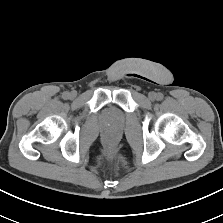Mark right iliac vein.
Returning a JSON list of instances; mask_svg holds the SVG:
<instances>
[{
    "label": "right iliac vein",
    "instance_id": "obj_1",
    "mask_svg": "<svg viewBox=\"0 0 223 223\" xmlns=\"http://www.w3.org/2000/svg\"><path fill=\"white\" fill-rule=\"evenodd\" d=\"M76 95H77V94H76V92H75V91H73V92H71V93H70V97H71V98H75V97H76Z\"/></svg>",
    "mask_w": 223,
    "mask_h": 223
}]
</instances>
